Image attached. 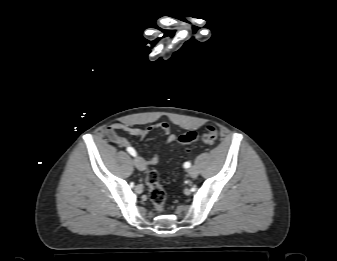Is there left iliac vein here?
<instances>
[{
	"label": "left iliac vein",
	"instance_id": "obj_1",
	"mask_svg": "<svg viewBox=\"0 0 337 261\" xmlns=\"http://www.w3.org/2000/svg\"><path fill=\"white\" fill-rule=\"evenodd\" d=\"M188 174L192 177V178H196L199 174L198 169L196 167H191L190 169H188Z\"/></svg>",
	"mask_w": 337,
	"mask_h": 261
}]
</instances>
